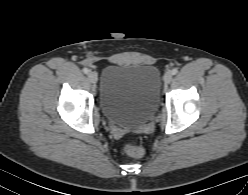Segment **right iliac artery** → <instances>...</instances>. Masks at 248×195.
<instances>
[{"label": "right iliac artery", "instance_id": "obj_1", "mask_svg": "<svg viewBox=\"0 0 248 195\" xmlns=\"http://www.w3.org/2000/svg\"><path fill=\"white\" fill-rule=\"evenodd\" d=\"M83 72H84L85 74H88V73H89V69H88V68H84V69H83Z\"/></svg>", "mask_w": 248, "mask_h": 195}]
</instances>
